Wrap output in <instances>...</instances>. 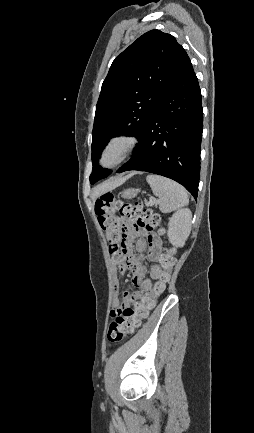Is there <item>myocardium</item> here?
Segmentation results:
<instances>
[{
  "label": "myocardium",
  "mask_w": 254,
  "mask_h": 433,
  "mask_svg": "<svg viewBox=\"0 0 254 433\" xmlns=\"http://www.w3.org/2000/svg\"><path fill=\"white\" fill-rule=\"evenodd\" d=\"M116 144H121L122 145V150H121V154L119 156V158L112 164L106 165L103 162L104 156L106 154V152L114 145ZM139 144L138 139L128 133H119L116 135H113L112 137H110L106 143L104 144L101 153H100V157H99V163L102 167L105 168H114L117 167L118 165L122 164L124 161H126L137 149Z\"/></svg>",
  "instance_id": "1"
}]
</instances>
